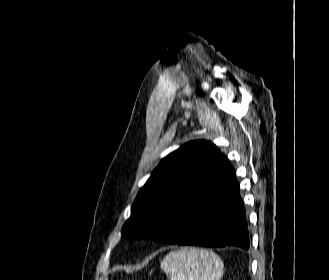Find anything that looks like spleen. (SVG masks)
<instances>
[{
    "label": "spleen",
    "mask_w": 329,
    "mask_h": 280,
    "mask_svg": "<svg viewBox=\"0 0 329 280\" xmlns=\"http://www.w3.org/2000/svg\"><path fill=\"white\" fill-rule=\"evenodd\" d=\"M160 266L170 280H220L224 273V264L218 255L195 247L171 251Z\"/></svg>",
    "instance_id": "obj_1"
}]
</instances>
